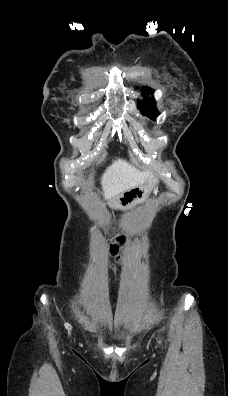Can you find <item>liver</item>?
Wrapping results in <instances>:
<instances>
[{"instance_id": "obj_1", "label": "liver", "mask_w": 228, "mask_h": 396, "mask_svg": "<svg viewBox=\"0 0 228 396\" xmlns=\"http://www.w3.org/2000/svg\"><path fill=\"white\" fill-rule=\"evenodd\" d=\"M151 176L149 170L139 171L123 159L115 160L101 179L104 197L114 198L132 187L143 184Z\"/></svg>"}]
</instances>
